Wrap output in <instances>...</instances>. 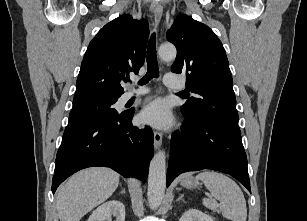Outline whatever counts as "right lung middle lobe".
Listing matches in <instances>:
<instances>
[{
	"label": "right lung middle lobe",
	"mask_w": 307,
	"mask_h": 221,
	"mask_svg": "<svg viewBox=\"0 0 307 221\" xmlns=\"http://www.w3.org/2000/svg\"><path fill=\"white\" fill-rule=\"evenodd\" d=\"M116 101L117 99H109L73 104L65 132L118 115L113 107Z\"/></svg>",
	"instance_id": "1"
}]
</instances>
